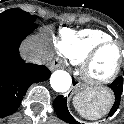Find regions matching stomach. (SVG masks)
I'll return each mask as SVG.
<instances>
[{
  "label": "stomach",
  "mask_w": 124,
  "mask_h": 124,
  "mask_svg": "<svg viewBox=\"0 0 124 124\" xmlns=\"http://www.w3.org/2000/svg\"><path fill=\"white\" fill-rule=\"evenodd\" d=\"M77 95H80V96L91 95L93 99H97L100 96H106L110 100H112V95L107 90H102V89L94 90V89H91V88L83 86V85L77 86Z\"/></svg>",
  "instance_id": "1"
}]
</instances>
